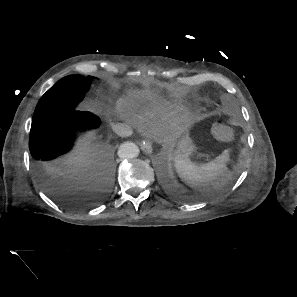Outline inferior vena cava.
Returning <instances> with one entry per match:
<instances>
[{
    "instance_id": "inferior-vena-cava-1",
    "label": "inferior vena cava",
    "mask_w": 297,
    "mask_h": 297,
    "mask_svg": "<svg viewBox=\"0 0 297 297\" xmlns=\"http://www.w3.org/2000/svg\"><path fill=\"white\" fill-rule=\"evenodd\" d=\"M112 129L117 135L121 137H128L133 133L131 126L126 123L113 124Z\"/></svg>"
}]
</instances>
